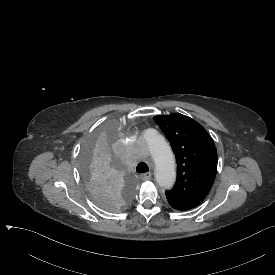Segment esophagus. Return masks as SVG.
<instances>
[{
	"label": "esophagus",
	"mask_w": 275,
	"mask_h": 275,
	"mask_svg": "<svg viewBox=\"0 0 275 275\" xmlns=\"http://www.w3.org/2000/svg\"><path fill=\"white\" fill-rule=\"evenodd\" d=\"M140 178H141L142 180H149V179L151 178V173H142V174L140 175Z\"/></svg>",
	"instance_id": "esophagus-1"
}]
</instances>
